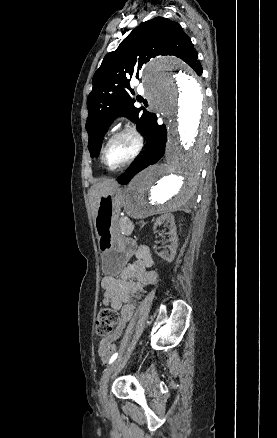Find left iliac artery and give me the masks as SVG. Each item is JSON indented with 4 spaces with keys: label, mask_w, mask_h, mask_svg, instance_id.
<instances>
[{
    "label": "left iliac artery",
    "mask_w": 277,
    "mask_h": 438,
    "mask_svg": "<svg viewBox=\"0 0 277 438\" xmlns=\"http://www.w3.org/2000/svg\"><path fill=\"white\" fill-rule=\"evenodd\" d=\"M117 357H118V353L113 354L109 360V364H111L114 360H116Z\"/></svg>",
    "instance_id": "obj_1"
}]
</instances>
